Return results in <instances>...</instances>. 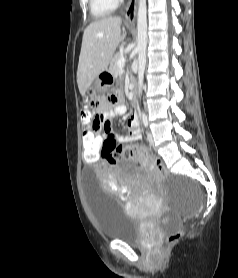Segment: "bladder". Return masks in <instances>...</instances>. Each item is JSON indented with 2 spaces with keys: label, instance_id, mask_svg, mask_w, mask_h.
<instances>
[{
  "label": "bladder",
  "instance_id": "31cf9c89",
  "mask_svg": "<svg viewBox=\"0 0 238 278\" xmlns=\"http://www.w3.org/2000/svg\"><path fill=\"white\" fill-rule=\"evenodd\" d=\"M83 180H94L93 169H82ZM88 205L100 234L108 239L142 244L145 233L142 220L128 214L121 201L98 186V181H84Z\"/></svg>",
  "mask_w": 238,
  "mask_h": 278
}]
</instances>
